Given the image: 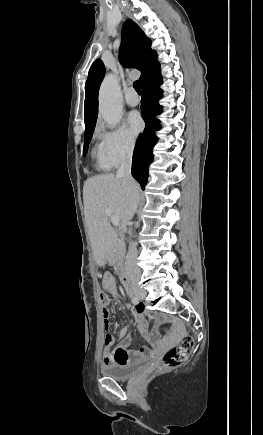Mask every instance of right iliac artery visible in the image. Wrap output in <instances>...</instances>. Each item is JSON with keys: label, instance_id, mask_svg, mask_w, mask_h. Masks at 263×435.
I'll use <instances>...</instances> for the list:
<instances>
[{"label": "right iliac artery", "instance_id": "1", "mask_svg": "<svg viewBox=\"0 0 263 435\" xmlns=\"http://www.w3.org/2000/svg\"><path fill=\"white\" fill-rule=\"evenodd\" d=\"M138 301H139V300H138V298H137V297H133V298H132V302H133L134 304H137V303H138Z\"/></svg>", "mask_w": 263, "mask_h": 435}]
</instances>
